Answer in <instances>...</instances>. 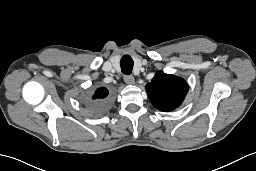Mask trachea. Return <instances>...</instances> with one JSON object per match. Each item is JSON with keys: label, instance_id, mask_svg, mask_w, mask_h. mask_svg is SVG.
<instances>
[{"label": "trachea", "instance_id": "obj_1", "mask_svg": "<svg viewBox=\"0 0 256 171\" xmlns=\"http://www.w3.org/2000/svg\"><path fill=\"white\" fill-rule=\"evenodd\" d=\"M121 71L125 75H130L133 69V59L129 55H124L120 60Z\"/></svg>", "mask_w": 256, "mask_h": 171}]
</instances>
